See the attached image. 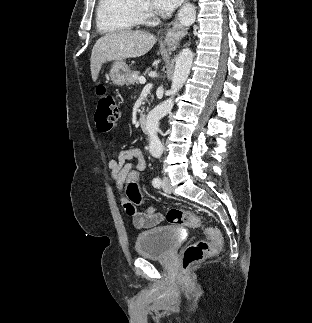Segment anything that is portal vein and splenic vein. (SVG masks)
I'll use <instances>...</instances> for the list:
<instances>
[{
    "mask_svg": "<svg viewBox=\"0 0 312 323\" xmlns=\"http://www.w3.org/2000/svg\"><path fill=\"white\" fill-rule=\"evenodd\" d=\"M139 82H140V84H145L146 80H145V78H139Z\"/></svg>",
    "mask_w": 312,
    "mask_h": 323,
    "instance_id": "obj_1",
    "label": "portal vein and splenic vein"
}]
</instances>
